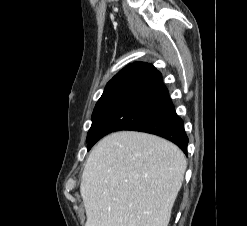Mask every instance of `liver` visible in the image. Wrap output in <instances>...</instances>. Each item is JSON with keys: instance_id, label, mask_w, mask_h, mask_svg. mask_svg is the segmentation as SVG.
Returning a JSON list of instances; mask_svg holds the SVG:
<instances>
[{"instance_id": "1", "label": "liver", "mask_w": 247, "mask_h": 226, "mask_svg": "<svg viewBox=\"0 0 247 226\" xmlns=\"http://www.w3.org/2000/svg\"><path fill=\"white\" fill-rule=\"evenodd\" d=\"M186 167L183 152L160 137L133 131L104 137L82 174L85 226H168Z\"/></svg>"}]
</instances>
